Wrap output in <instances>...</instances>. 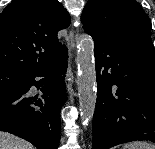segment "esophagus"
<instances>
[{"label":"esophagus","instance_id":"1","mask_svg":"<svg viewBox=\"0 0 155 149\" xmlns=\"http://www.w3.org/2000/svg\"><path fill=\"white\" fill-rule=\"evenodd\" d=\"M69 45L70 49L73 50L75 43H74V32L72 30L69 31Z\"/></svg>","mask_w":155,"mask_h":149}]
</instances>
